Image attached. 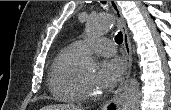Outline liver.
Returning a JSON list of instances; mask_svg holds the SVG:
<instances>
[{
    "label": "liver",
    "mask_w": 171,
    "mask_h": 110,
    "mask_svg": "<svg viewBox=\"0 0 171 110\" xmlns=\"http://www.w3.org/2000/svg\"><path fill=\"white\" fill-rule=\"evenodd\" d=\"M41 110H83V108H80L78 106L74 105H65V104H57V105H49L42 107Z\"/></svg>",
    "instance_id": "obj_1"
}]
</instances>
